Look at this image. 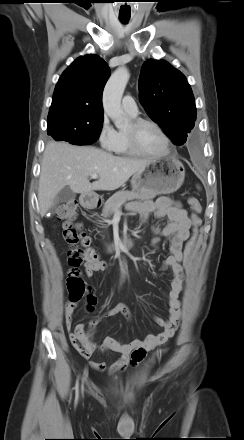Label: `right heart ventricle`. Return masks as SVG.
<instances>
[{
  "mask_svg": "<svg viewBox=\"0 0 244 440\" xmlns=\"http://www.w3.org/2000/svg\"><path fill=\"white\" fill-rule=\"evenodd\" d=\"M135 117V116H132ZM111 151L114 154L122 155V156H132L136 155V153L131 149L127 138L125 131L119 130L116 131V141L114 146L112 147Z\"/></svg>",
  "mask_w": 244,
  "mask_h": 440,
  "instance_id": "obj_1",
  "label": "right heart ventricle"
}]
</instances>
